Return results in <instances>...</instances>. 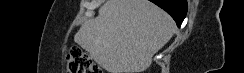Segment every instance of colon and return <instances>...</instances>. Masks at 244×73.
I'll return each mask as SVG.
<instances>
[{"label": "colon", "instance_id": "colon-1", "mask_svg": "<svg viewBox=\"0 0 244 73\" xmlns=\"http://www.w3.org/2000/svg\"><path fill=\"white\" fill-rule=\"evenodd\" d=\"M68 73H102L92 58L80 48H73L66 57Z\"/></svg>", "mask_w": 244, "mask_h": 73}]
</instances>
